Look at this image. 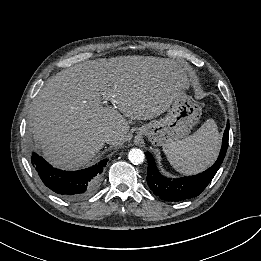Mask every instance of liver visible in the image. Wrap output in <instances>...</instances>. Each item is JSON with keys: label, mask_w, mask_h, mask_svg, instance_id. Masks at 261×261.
<instances>
[{"label": "liver", "mask_w": 261, "mask_h": 261, "mask_svg": "<svg viewBox=\"0 0 261 261\" xmlns=\"http://www.w3.org/2000/svg\"><path fill=\"white\" fill-rule=\"evenodd\" d=\"M184 69L169 58L119 56L88 60L49 78L33 101L29 131L53 166L74 169L88 163L105 144L106 130L119 146L129 131L127 118L149 120L170 108L187 88ZM117 108L103 106V93Z\"/></svg>", "instance_id": "1"}]
</instances>
